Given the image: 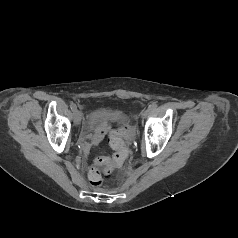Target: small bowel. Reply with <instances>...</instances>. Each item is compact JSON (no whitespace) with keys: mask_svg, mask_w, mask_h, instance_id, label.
I'll return each instance as SVG.
<instances>
[{"mask_svg":"<svg viewBox=\"0 0 238 238\" xmlns=\"http://www.w3.org/2000/svg\"><path fill=\"white\" fill-rule=\"evenodd\" d=\"M86 124L88 129H93V133L88 130L82 133L80 145L84 151L97 146L111 129L110 123L105 118L88 117Z\"/></svg>","mask_w":238,"mask_h":238,"instance_id":"obj_1","label":"small bowel"}]
</instances>
